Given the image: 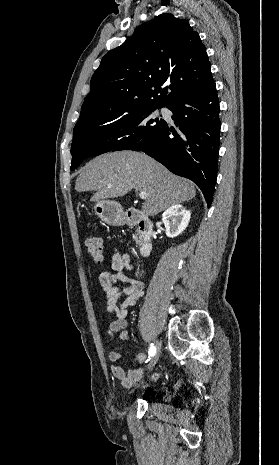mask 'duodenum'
Here are the masks:
<instances>
[{
    "label": "duodenum",
    "instance_id": "1",
    "mask_svg": "<svg viewBox=\"0 0 279 465\" xmlns=\"http://www.w3.org/2000/svg\"><path fill=\"white\" fill-rule=\"evenodd\" d=\"M125 223L129 226H136L138 230L141 256L147 257L152 250L153 223L138 211L130 210L125 215Z\"/></svg>",
    "mask_w": 279,
    "mask_h": 465
}]
</instances>
